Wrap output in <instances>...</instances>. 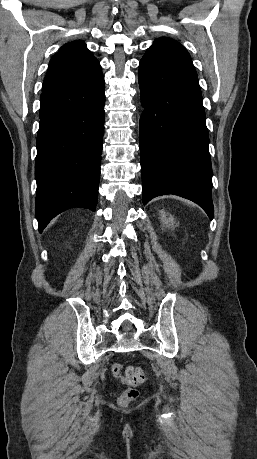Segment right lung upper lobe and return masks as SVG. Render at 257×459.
Instances as JSON below:
<instances>
[{
	"label": "right lung upper lobe",
	"mask_w": 257,
	"mask_h": 459,
	"mask_svg": "<svg viewBox=\"0 0 257 459\" xmlns=\"http://www.w3.org/2000/svg\"><path fill=\"white\" fill-rule=\"evenodd\" d=\"M102 74L101 66L81 40L62 46L52 57L42 92L75 86Z\"/></svg>",
	"instance_id": "cb5924a9"
}]
</instances>
